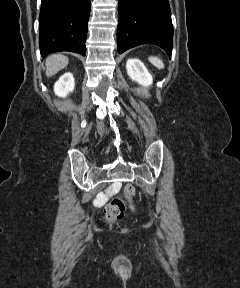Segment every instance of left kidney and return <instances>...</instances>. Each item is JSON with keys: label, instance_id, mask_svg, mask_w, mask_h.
Instances as JSON below:
<instances>
[{"label": "left kidney", "instance_id": "5707ae66", "mask_svg": "<svg viewBox=\"0 0 240 288\" xmlns=\"http://www.w3.org/2000/svg\"><path fill=\"white\" fill-rule=\"evenodd\" d=\"M126 69L128 76L133 81L145 87L152 85L153 78L145 65L139 59H128Z\"/></svg>", "mask_w": 240, "mask_h": 288}]
</instances>
